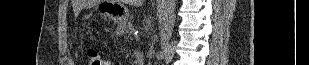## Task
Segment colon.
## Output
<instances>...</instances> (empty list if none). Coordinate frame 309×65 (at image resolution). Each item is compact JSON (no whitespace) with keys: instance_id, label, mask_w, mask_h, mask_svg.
<instances>
[{"instance_id":"5ec220e1","label":"colon","mask_w":309,"mask_h":65,"mask_svg":"<svg viewBox=\"0 0 309 65\" xmlns=\"http://www.w3.org/2000/svg\"><path fill=\"white\" fill-rule=\"evenodd\" d=\"M85 61L87 65H103L104 59L100 56L95 48H87L85 50Z\"/></svg>"}]
</instances>
